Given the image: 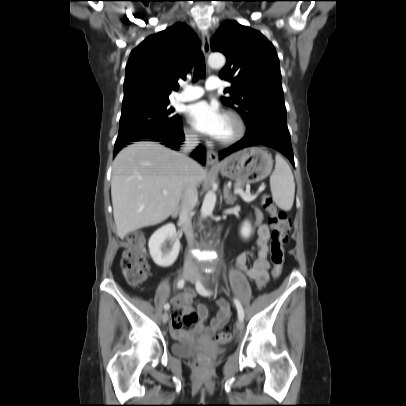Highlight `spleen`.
<instances>
[{"label":"spleen","mask_w":406,"mask_h":406,"mask_svg":"<svg viewBox=\"0 0 406 406\" xmlns=\"http://www.w3.org/2000/svg\"><path fill=\"white\" fill-rule=\"evenodd\" d=\"M275 160V169L270 176L272 197L279 208L288 211L293 206L295 196L293 173L282 156L276 155Z\"/></svg>","instance_id":"3e777b00"}]
</instances>
